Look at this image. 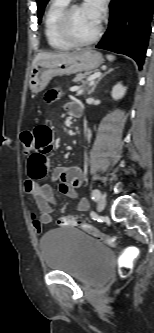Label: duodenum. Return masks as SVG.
<instances>
[{
  "label": "duodenum",
  "mask_w": 154,
  "mask_h": 333,
  "mask_svg": "<svg viewBox=\"0 0 154 333\" xmlns=\"http://www.w3.org/2000/svg\"><path fill=\"white\" fill-rule=\"evenodd\" d=\"M82 116V110L81 109H78V110H75L74 111V117H81Z\"/></svg>",
  "instance_id": "duodenum-1"
}]
</instances>
